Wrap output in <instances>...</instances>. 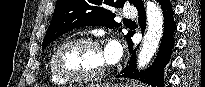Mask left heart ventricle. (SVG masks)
I'll return each mask as SVG.
<instances>
[{"label":"left heart ventricle","mask_w":205,"mask_h":87,"mask_svg":"<svg viewBox=\"0 0 205 87\" xmlns=\"http://www.w3.org/2000/svg\"><path fill=\"white\" fill-rule=\"evenodd\" d=\"M63 70L76 75H91L98 72L105 62L104 53L89 44H73L66 47L59 57Z\"/></svg>","instance_id":"obj_1"}]
</instances>
